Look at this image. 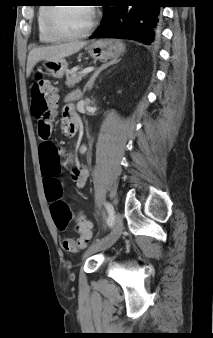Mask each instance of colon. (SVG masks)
<instances>
[{"mask_svg": "<svg viewBox=\"0 0 213 338\" xmlns=\"http://www.w3.org/2000/svg\"><path fill=\"white\" fill-rule=\"evenodd\" d=\"M56 92L51 83L39 77L32 86L31 90V112L38 122V136L47 140L51 134V125L44 119L50 120L56 109ZM57 147L53 143H45L41 146V151L49 156ZM61 170V169H60ZM59 170V172H60ZM63 203L53 206L52 214L58 225H64L71 217V208L63 200L62 193L59 195ZM78 222L76 230L80 236L77 239H63L62 245L67 252L75 253L87 246L91 238V224L86 221L81 214L77 215Z\"/></svg>", "mask_w": 213, "mask_h": 338, "instance_id": "1", "label": "colon"}]
</instances>
